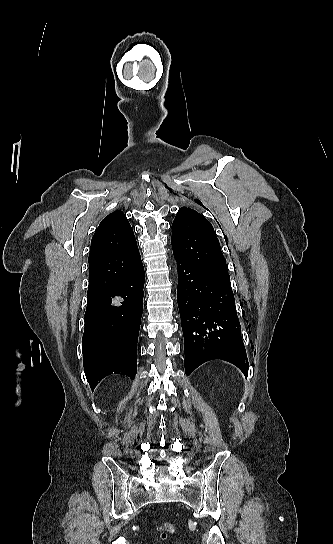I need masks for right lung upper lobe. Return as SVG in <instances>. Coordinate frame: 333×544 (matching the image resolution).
I'll return each mask as SVG.
<instances>
[{"label": "right lung upper lobe", "mask_w": 333, "mask_h": 544, "mask_svg": "<svg viewBox=\"0 0 333 544\" xmlns=\"http://www.w3.org/2000/svg\"><path fill=\"white\" fill-rule=\"evenodd\" d=\"M140 263L133 230L123 212L114 211L101 221L91 240L87 296L113 286Z\"/></svg>", "instance_id": "cb5924a9"}]
</instances>
